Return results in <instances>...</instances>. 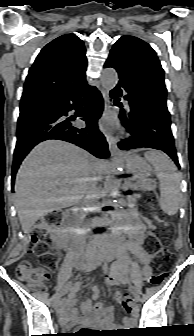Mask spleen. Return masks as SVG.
<instances>
[{
  "mask_svg": "<svg viewBox=\"0 0 194 336\" xmlns=\"http://www.w3.org/2000/svg\"><path fill=\"white\" fill-rule=\"evenodd\" d=\"M154 167L160 182L159 204L168 215L177 213L180 203V176L168 156L160 151L150 150L144 154Z\"/></svg>",
  "mask_w": 194,
  "mask_h": 336,
  "instance_id": "obj_1",
  "label": "spleen"
}]
</instances>
